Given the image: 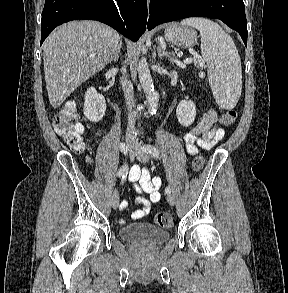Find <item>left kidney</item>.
Returning a JSON list of instances; mask_svg holds the SVG:
<instances>
[{"mask_svg": "<svg viewBox=\"0 0 288 293\" xmlns=\"http://www.w3.org/2000/svg\"><path fill=\"white\" fill-rule=\"evenodd\" d=\"M176 116L178 119V122L188 127L190 126L196 116V106L192 101L182 100L179 102L177 108H176Z\"/></svg>", "mask_w": 288, "mask_h": 293, "instance_id": "5707ae66", "label": "left kidney"}]
</instances>
